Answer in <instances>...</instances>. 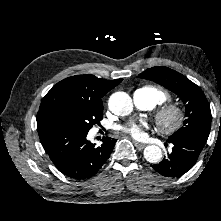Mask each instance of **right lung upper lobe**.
Here are the masks:
<instances>
[{
	"label": "right lung upper lobe",
	"mask_w": 221,
	"mask_h": 221,
	"mask_svg": "<svg viewBox=\"0 0 221 221\" xmlns=\"http://www.w3.org/2000/svg\"><path fill=\"white\" fill-rule=\"evenodd\" d=\"M122 79L106 80L94 75H76L57 83L43 98L37 113V122L51 121L61 110L76 107L103 109L102 97Z\"/></svg>",
	"instance_id": "cb5924a9"
}]
</instances>
